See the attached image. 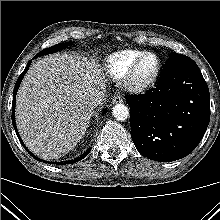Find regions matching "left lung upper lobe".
<instances>
[{
  "label": "left lung upper lobe",
  "mask_w": 220,
  "mask_h": 220,
  "mask_svg": "<svg viewBox=\"0 0 220 220\" xmlns=\"http://www.w3.org/2000/svg\"><path fill=\"white\" fill-rule=\"evenodd\" d=\"M187 56L185 55H182V54H178L176 52H172L170 55H169V58H177V59H180V58H185Z\"/></svg>",
  "instance_id": "obj_1"
}]
</instances>
